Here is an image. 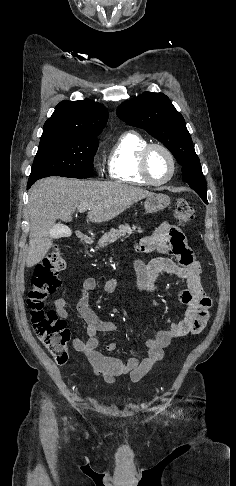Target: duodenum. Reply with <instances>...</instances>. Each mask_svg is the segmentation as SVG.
<instances>
[{
	"instance_id": "obj_1",
	"label": "duodenum",
	"mask_w": 236,
	"mask_h": 486,
	"mask_svg": "<svg viewBox=\"0 0 236 486\" xmlns=\"http://www.w3.org/2000/svg\"><path fill=\"white\" fill-rule=\"evenodd\" d=\"M77 237L78 239L82 242V243H89V238L87 235H85L84 233L82 232H78L77 233Z\"/></svg>"
}]
</instances>
